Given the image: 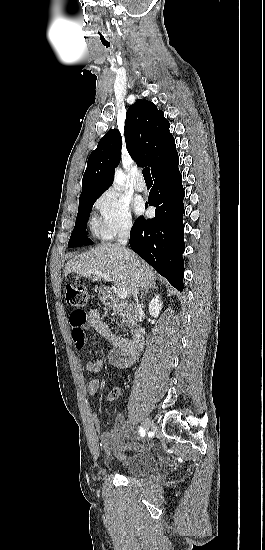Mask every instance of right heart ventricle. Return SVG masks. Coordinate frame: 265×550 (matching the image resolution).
Masks as SVG:
<instances>
[{
	"label": "right heart ventricle",
	"instance_id": "right-heart-ventricle-1",
	"mask_svg": "<svg viewBox=\"0 0 265 550\" xmlns=\"http://www.w3.org/2000/svg\"><path fill=\"white\" fill-rule=\"evenodd\" d=\"M91 228L95 235H101L99 231V222L96 219H93L91 222Z\"/></svg>",
	"mask_w": 265,
	"mask_h": 550
}]
</instances>
